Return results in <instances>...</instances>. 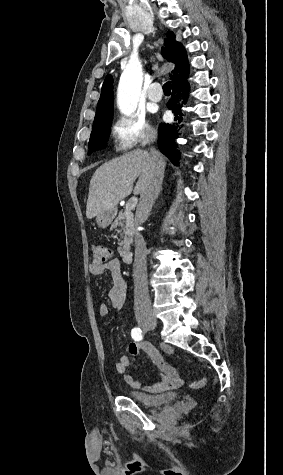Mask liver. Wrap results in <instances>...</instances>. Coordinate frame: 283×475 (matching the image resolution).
<instances>
[{
	"label": "liver",
	"mask_w": 283,
	"mask_h": 475,
	"mask_svg": "<svg viewBox=\"0 0 283 475\" xmlns=\"http://www.w3.org/2000/svg\"><path fill=\"white\" fill-rule=\"evenodd\" d=\"M163 160V156L160 154ZM152 156L145 150H133L120 158L102 164L90 182L86 216L92 220L105 210H114L117 204L134 194H143L150 176ZM139 180L133 190V184Z\"/></svg>",
	"instance_id": "6515ba94"
}]
</instances>
